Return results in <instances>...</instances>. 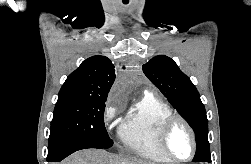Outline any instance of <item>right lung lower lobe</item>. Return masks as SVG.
Masks as SVG:
<instances>
[{
  "label": "right lung lower lobe",
  "mask_w": 251,
  "mask_h": 164,
  "mask_svg": "<svg viewBox=\"0 0 251 164\" xmlns=\"http://www.w3.org/2000/svg\"><path fill=\"white\" fill-rule=\"evenodd\" d=\"M87 148H98L95 145L80 141H64L48 147L47 162H60L68 155Z\"/></svg>",
  "instance_id": "right-lung-lower-lobe-1"
}]
</instances>
